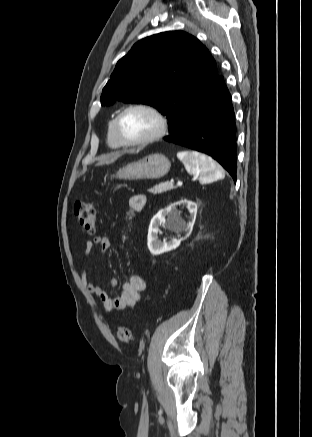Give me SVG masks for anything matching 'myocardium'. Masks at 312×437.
Returning <instances> with one entry per match:
<instances>
[{
  "mask_svg": "<svg viewBox=\"0 0 312 437\" xmlns=\"http://www.w3.org/2000/svg\"><path fill=\"white\" fill-rule=\"evenodd\" d=\"M134 109L146 110L156 118L158 122V127L157 130L152 135L139 140H130L126 138V136L123 134L121 130V120L127 112ZM114 127L118 138L124 145L141 146V145H147L153 143L159 140L160 138H162L167 131L168 123L165 116L155 106L147 103H134L126 106L118 113V115L115 118Z\"/></svg>",
  "mask_w": 312,
  "mask_h": 437,
  "instance_id": "myocardium-1",
  "label": "myocardium"
}]
</instances>
